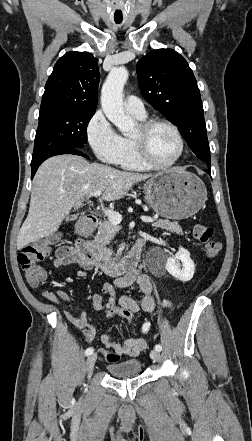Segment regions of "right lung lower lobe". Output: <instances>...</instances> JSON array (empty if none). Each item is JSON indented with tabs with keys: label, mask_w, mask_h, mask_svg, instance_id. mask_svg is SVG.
<instances>
[{
	"label": "right lung lower lobe",
	"mask_w": 252,
	"mask_h": 441,
	"mask_svg": "<svg viewBox=\"0 0 252 441\" xmlns=\"http://www.w3.org/2000/svg\"><path fill=\"white\" fill-rule=\"evenodd\" d=\"M61 154H74V155H80V156H83L85 158H88L79 149H63V150H58V151L51 152V153L45 155L44 157H42L41 159H39L38 161L31 162V170H32L31 178L34 177L38 167L41 165V163L43 161H45L49 157H52V156H55V155H61Z\"/></svg>",
	"instance_id": "1"
}]
</instances>
